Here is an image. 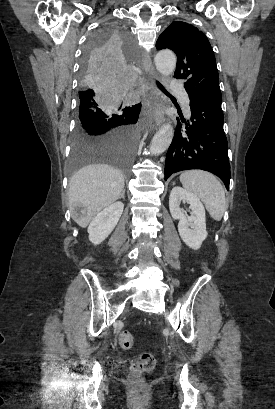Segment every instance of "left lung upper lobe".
Segmentation results:
<instances>
[{
    "mask_svg": "<svg viewBox=\"0 0 275 409\" xmlns=\"http://www.w3.org/2000/svg\"><path fill=\"white\" fill-rule=\"evenodd\" d=\"M156 48L176 53L175 78L184 79L188 95L221 103L218 70L207 37L186 22L174 21L159 36Z\"/></svg>",
    "mask_w": 275,
    "mask_h": 409,
    "instance_id": "5c2ea615",
    "label": "left lung upper lobe"
}]
</instances>
